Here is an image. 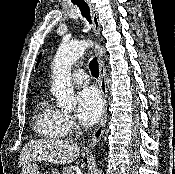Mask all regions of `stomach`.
<instances>
[{
  "label": "stomach",
  "instance_id": "obj_1",
  "mask_svg": "<svg viewBox=\"0 0 175 174\" xmlns=\"http://www.w3.org/2000/svg\"><path fill=\"white\" fill-rule=\"evenodd\" d=\"M55 174H59L56 170L54 171ZM21 174H39L38 165L34 162H30L23 166Z\"/></svg>",
  "mask_w": 175,
  "mask_h": 174
}]
</instances>
